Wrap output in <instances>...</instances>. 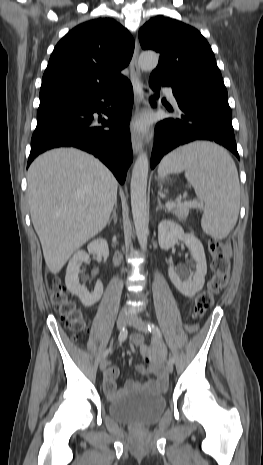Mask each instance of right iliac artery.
Segmentation results:
<instances>
[{
    "mask_svg": "<svg viewBox=\"0 0 263 465\" xmlns=\"http://www.w3.org/2000/svg\"><path fill=\"white\" fill-rule=\"evenodd\" d=\"M127 336H128V331H127V329L123 328V329L120 331V334H119V337H118L119 342H120V343L124 342V341L126 340ZM111 351H112L111 348L105 350L104 353H103V356H104V357H107L108 354H109Z\"/></svg>",
    "mask_w": 263,
    "mask_h": 465,
    "instance_id": "obj_1",
    "label": "right iliac artery"
}]
</instances>
